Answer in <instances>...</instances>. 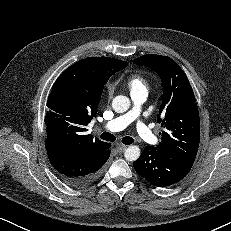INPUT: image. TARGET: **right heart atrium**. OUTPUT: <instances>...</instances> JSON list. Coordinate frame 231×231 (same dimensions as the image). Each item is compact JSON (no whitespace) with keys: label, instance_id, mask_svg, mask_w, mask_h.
I'll use <instances>...</instances> for the list:
<instances>
[{"label":"right heart atrium","instance_id":"right-heart-atrium-1","mask_svg":"<svg viewBox=\"0 0 231 231\" xmlns=\"http://www.w3.org/2000/svg\"><path fill=\"white\" fill-rule=\"evenodd\" d=\"M107 94L108 96H111L113 94V87L111 85L107 86Z\"/></svg>","mask_w":231,"mask_h":231}]
</instances>
